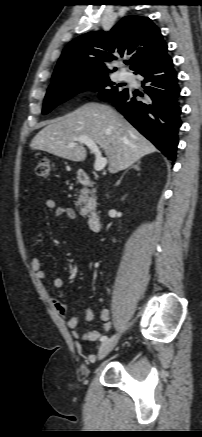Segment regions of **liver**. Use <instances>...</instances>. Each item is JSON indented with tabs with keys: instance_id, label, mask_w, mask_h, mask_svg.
<instances>
[{
	"instance_id": "obj_1",
	"label": "liver",
	"mask_w": 202,
	"mask_h": 437,
	"mask_svg": "<svg viewBox=\"0 0 202 437\" xmlns=\"http://www.w3.org/2000/svg\"><path fill=\"white\" fill-rule=\"evenodd\" d=\"M80 136L100 145L108 158L111 174L156 151L155 146L121 114L100 103H87L72 113L49 121L33 138L30 147L81 162L86 159L87 152L82 144L75 141ZM70 144L75 145L70 147Z\"/></svg>"
}]
</instances>
